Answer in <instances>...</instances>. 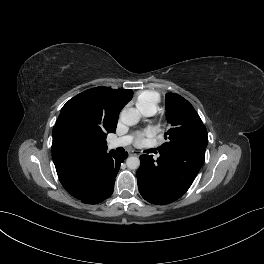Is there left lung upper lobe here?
Wrapping results in <instances>:
<instances>
[{"label": "left lung upper lobe", "mask_w": 264, "mask_h": 264, "mask_svg": "<svg viewBox=\"0 0 264 264\" xmlns=\"http://www.w3.org/2000/svg\"><path fill=\"white\" fill-rule=\"evenodd\" d=\"M166 110L170 128L164 136L167 142L159 149L163 152L182 149L186 150L190 156L194 153L195 146H207L206 127L185 98L175 93H167Z\"/></svg>", "instance_id": "5c2ea615"}]
</instances>
